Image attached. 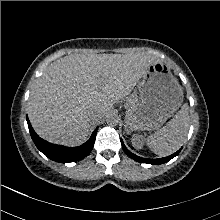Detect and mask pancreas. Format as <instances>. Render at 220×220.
<instances>
[{
    "label": "pancreas",
    "mask_w": 220,
    "mask_h": 220,
    "mask_svg": "<svg viewBox=\"0 0 220 220\" xmlns=\"http://www.w3.org/2000/svg\"><path fill=\"white\" fill-rule=\"evenodd\" d=\"M137 102V97L135 94L130 95L129 97L126 98V105H131Z\"/></svg>",
    "instance_id": "1"
}]
</instances>
